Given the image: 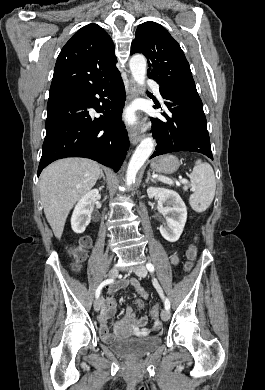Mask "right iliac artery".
<instances>
[{"label": "right iliac artery", "instance_id": "obj_1", "mask_svg": "<svg viewBox=\"0 0 265 390\" xmlns=\"http://www.w3.org/2000/svg\"><path fill=\"white\" fill-rule=\"evenodd\" d=\"M113 281H114L113 279L104 280V281L98 286V288L96 289V293H95L96 298L99 297L102 288H103L105 285H108V284L112 283Z\"/></svg>", "mask_w": 265, "mask_h": 390}]
</instances>
